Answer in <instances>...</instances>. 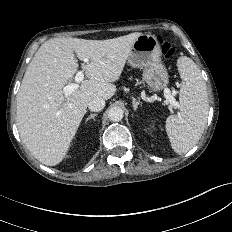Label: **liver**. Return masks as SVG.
<instances>
[{
    "instance_id": "1",
    "label": "liver",
    "mask_w": 232,
    "mask_h": 232,
    "mask_svg": "<svg viewBox=\"0 0 232 232\" xmlns=\"http://www.w3.org/2000/svg\"><path fill=\"white\" fill-rule=\"evenodd\" d=\"M142 33L107 40L51 38L35 53L17 95V127L23 143L42 164L55 166L71 142L96 97L110 99L131 48ZM79 60L88 79L65 97L63 87L77 72Z\"/></svg>"
}]
</instances>
